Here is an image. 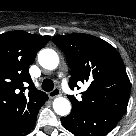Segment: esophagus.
I'll return each mask as SVG.
<instances>
[{"label": "esophagus", "instance_id": "1", "mask_svg": "<svg viewBox=\"0 0 136 136\" xmlns=\"http://www.w3.org/2000/svg\"><path fill=\"white\" fill-rule=\"evenodd\" d=\"M48 96H49L50 99H53V98H56V97L60 96L59 88H54L52 91H50L48 93Z\"/></svg>", "mask_w": 136, "mask_h": 136}]
</instances>
